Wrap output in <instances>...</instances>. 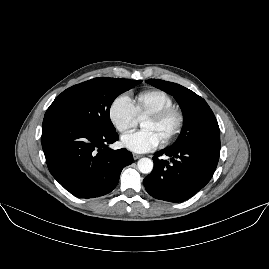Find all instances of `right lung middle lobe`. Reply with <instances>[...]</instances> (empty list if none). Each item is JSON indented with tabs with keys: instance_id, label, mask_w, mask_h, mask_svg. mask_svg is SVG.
Returning <instances> with one entry per match:
<instances>
[{
	"instance_id": "1",
	"label": "right lung middle lobe",
	"mask_w": 269,
	"mask_h": 269,
	"mask_svg": "<svg viewBox=\"0 0 269 269\" xmlns=\"http://www.w3.org/2000/svg\"><path fill=\"white\" fill-rule=\"evenodd\" d=\"M141 82L122 78H95L63 91L47 111L65 114L100 132H115L109 118L112 102L118 95Z\"/></svg>"
}]
</instances>
